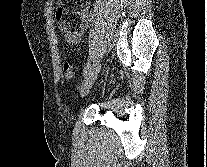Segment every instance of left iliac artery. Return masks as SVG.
Returning a JSON list of instances; mask_svg holds the SVG:
<instances>
[{
    "label": "left iliac artery",
    "mask_w": 207,
    "mask_h": 167,
    "mask_svg": "<svg viewBox=\"0 0 207 167\" xmlns=\"http://www.w3.org/2000/svg\"><path fill=\"white\" fill-rule=\"evenodd\" d=\"M89 69H90V62H87L83 70V76H85L88 73Z\"/></svg>",
    "instance_id": "left-iliac-artery-1"
}]
</instances>
